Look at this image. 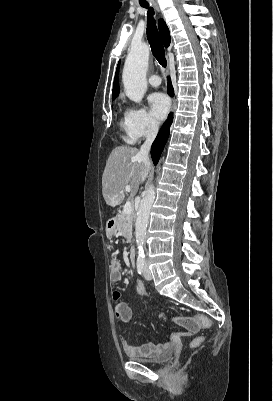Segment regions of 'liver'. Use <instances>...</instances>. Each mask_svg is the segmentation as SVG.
Returning <instances> with one entry per match:
<instances>
[{
  "label": "liver",
  "mask_w": 273,
  "mask_h": 401,
  "mask_svg": "<svg viewBox=\"0 0 273 401\" xmlns=\"http://www.w3.org/2000/svg\"><path fill=\"white\" fill-rule=\"evenodd\" d=\"M145 164L138 148L116 146L106 162L102 176V194L106 205L116 207L124 201L125 186L130 184L131 196L136 194Z\"/></svg>",
  "instance_id": "1"
}]
</instances>
